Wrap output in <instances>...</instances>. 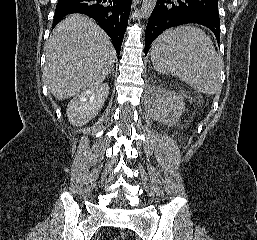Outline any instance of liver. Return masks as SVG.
Wrapping results in <instances>:
<instances>
[{"instance_id":"liver-1","label":"liver","mask_w":257,"mask_h":240,"mask_svg":"<svg viewBox=\"0 0 257 240\" xmlns=\"http://www.w3.org/2000/svg\"><path fill=\"white\" fill-rule=\"evenodd\" d=\"M115 58L106 33L91 19L73 14L62 20L49 38L44 80L55 98L68 99L101 84Z\"/></svg>"}]
</instances>
